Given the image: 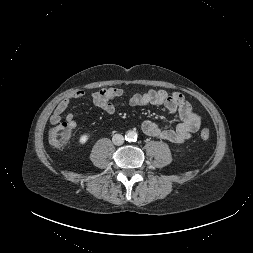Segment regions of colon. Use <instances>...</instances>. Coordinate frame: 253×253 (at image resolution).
Instances as JSON below:
<instances>
[{
	"instance_id": "5ec220e1",
	"label": "colon",
	"mask_w": 253,
	"mask_h": 253,
	"mask_svg": "<svg viewBox=\"0 0 253 253\" xmlns=\"http://www.w3.org/2000/svg\"><path fill=\"white\" fill-rule=\"evenodd\" d=\"M72 132V125L68 122H63L50 130L49 142L56 148L64 147L69 142ZM200 137L202 140H208L210 138L209 129L204 128L200 133Z\"/></svg>"
}]
</instances>
